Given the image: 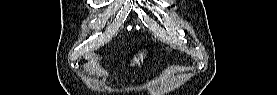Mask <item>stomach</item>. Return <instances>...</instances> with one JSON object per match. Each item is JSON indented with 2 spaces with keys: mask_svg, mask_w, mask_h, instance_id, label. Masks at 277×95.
I'll use <instances>...</instances> for the list:
<instances>
[{
  "mask_svg": "<svg viewBox=\"0 0 277 95\" xmlns=\"http://www.w3.org/2000/svg\"><path fill=\"white\" fill-rule=\"evenodd\" d=\"M147 53V50H142L135 54L133 58L130 60V67H135L137 65L139 66L140 63H143V60L147 57Z\"/></svg>",
  "mask_w": 277,
  "mask_h": 95,
  "instance_id": "1",
  "label": "stomach"
}]
</instances>
